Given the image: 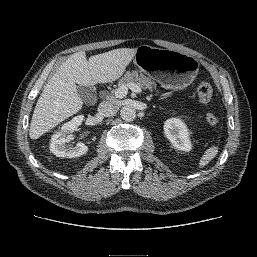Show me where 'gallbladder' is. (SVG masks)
<instances>
[{"label":"gallbladder","instance_id":"bac80fb5","mask_svg":"<svg viewBox=\"0 0 257 257\" xmlns=\"http://www.w3.org/2000/svg\"><path fill=\"white\" fill-rule=\"evenodd\" d=\"M77 91L85 103L93 101L96 97V91L93 87L78 86Z\"/></svg>","mask_w":257,"mask_h":257}]
</instances>
